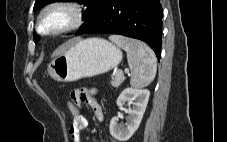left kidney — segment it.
Segmentation results:
<instances>
[{
  "mask_svg": "<svg viewBox=\"0 0 227 142\" xmlns=\"http://www.w3.org/2000/svg\"><path fill=\"white\" fill-rule=\"evenodd\" d=\"M150 91L147 89L126 88L117 99V106L125 103L132 105L128 110L126 127L118 123V118L113 117L110 122V134L120 142H126L138 129L149 100Z\"/></svg>",
  "mask_w": 227,
  "mask_h": 142,
  "instance_id": "left-kidney-1",
  "label": "left kidney"
}]
</instances>
